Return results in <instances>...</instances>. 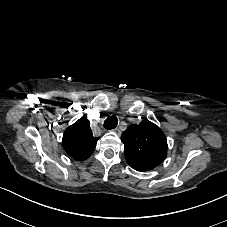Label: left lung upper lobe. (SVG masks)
<instances>
[{"instance_id": "5c2ea615", "label": "left lung upper lobe", "mask_w": 227, "mask_h": 227, "mask_svg": "<svg viewBox=\"0 0 227 227\" xmlns=\"http://www.w3.org/2000/svg\"><path fill=\"white\" fill-rule=\"evenodd\" d=\"M127 163L137 171L152 170L167 155V140L162 130L145 119L130 125L121 136Z\"/></svg>"}]
</instances>
